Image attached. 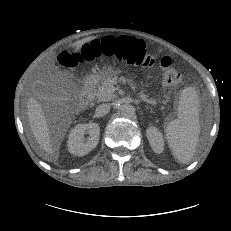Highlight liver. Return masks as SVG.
<instances>
[{
    "label": "liver",
    "mask_w": 231,
    "mask_h": 231,
    "mask_svg": "<svg viewBox=\"0 0 231 231\" xmlns=\"http://www.w3.org/2000/svg\"><path fill=\"white\" fill-rule=\"evenodd\" d=\"M94 37H89L80 41H77L70 45L71 48L79 50L83 44L90 42ZM27 114L28 121L30 124L31 131L42 150V156L48 160L56 158L50 132L48 128V123L46 117L41 108V105L34 98H29L27 102Z\"/></svg>",
    "instance_id": "1"
}]
</instances>
